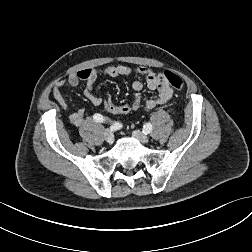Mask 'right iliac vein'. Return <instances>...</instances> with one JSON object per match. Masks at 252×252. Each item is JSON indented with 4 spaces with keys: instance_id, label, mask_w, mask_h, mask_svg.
Returning a JSON list of instances; mask_svg holds the SVG:
<instances>
[{
    "instance_id": "63e3f726",
    "label": "right iliac vein",
    "mask_w": 252,
    "mask_h": 252,
    "mask_svg": "<svg viewBox=\"0 0 252 252\" xmlns=\"http://www.w3.org/2000/svg\"><path fill=\"white\" fill-rule=\"evenodd\" d=\"M104 138L109 144H112L114 142V134L109 130H106L104 132Z\"/></svg>"
}]
</instances>
